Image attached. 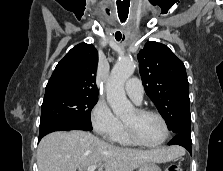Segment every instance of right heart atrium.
Segmentation results:
<instances>
[{"label":"right heart atrium","mask_w":223,"mask_h":171,"mask_svg":"<svg viewBox=\"0 0 223 171\" xmlns=\"http://www.w3.org/2000/svg\"><path fill=\"white\" fill-rule=\"evenodd\" d=\"M90 120L94 132L108 141H113L122 128L121 122L103 100L97 101L93 106Z\"/></svg>","instance_id":"d8ad5b80"}]
</instances>
